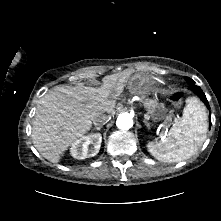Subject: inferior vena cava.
<instances>
[{
	"label": "inferior vena cava",
	"instance_id": "602c4592",
	"mask_svg": "<svg viewBox=\"0 0 221 221\" xmlns=\"http://www.w3.org/2000/svg\"><path fill=\"white\" fill-rule=\"evenodd\" d=\"M110 119V116L107 114H99L96 116L93 120L94 125L96 126H102L106 124Z\"/></svg>",
	"mask_w": 221,
	"mask_h": 221
}]
</instances>
